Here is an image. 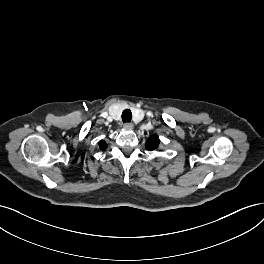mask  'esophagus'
Listing matches in <instances>:
<instances>
[{
    "instance_id": "obj_1",
    "label": "esophagus",
    "mask_w": 264,
    "mask_h": 264,
    "mask_svg": "<svg viewBox=\"0 0 264 264\" xmlns=\"http://www.w3.org/2000/svg\"><path fill=\"white\" fill-rule=\"evenodd\" d=\"M124 128L125 129H128V130H131L134 128V125L132 123H125L124 124Z\"/></svg>"
}]
</instances>
